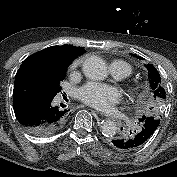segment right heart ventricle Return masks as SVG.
I'll use <instances>...</instances> for the list:
<instances>
[{"label": "right heart ventricle", "instance_id": "e07e8e85", "mask_svg": "<svg viewBox=\"0 0 177 177\" xmlns=\"http://www.w3.org/2000/svg\"><path fill=\"white\" fill-rule=\"evenodd\" d=\"M120 62H122V63H123V65L125 66V68H126V69H127V71H128V74L130 75V74L132 73V71H133L132 66H131L129 63L124 62V61H120Z\"/></svg>", "mask_w": 177, "mask_h": 177}]
</instances>
